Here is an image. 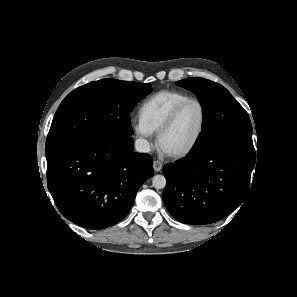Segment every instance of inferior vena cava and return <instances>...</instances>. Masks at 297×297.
<instances>
[{"instance_id": "obj_1", "label": "inferior vena cava", "mask_w": 297, "mask_h": 297, "mask_svg": "<svg viewBox=\"0 0 297 297\" xmlns=\"http://www.w3.org/2000/svg\"><path fill=\"white\" fill-rule=\"evenodd\" d=\"M134 145H135L136 151L140 153H148L151 150L148 140L144 138L136 139Z\"/></svg>"}]
</instances>
